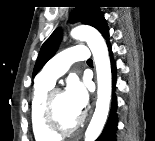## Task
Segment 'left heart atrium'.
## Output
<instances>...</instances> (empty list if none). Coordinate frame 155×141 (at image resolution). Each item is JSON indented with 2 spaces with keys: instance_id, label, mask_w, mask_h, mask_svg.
Masks as SVG:
<instances>
[{
  "instance_id": "obj_1",
  "label": "left heart atrium",
  "mask_w": 155,
  "mask_h": 141,
  "mask_svg": "<svg viewBox=\"0 0 155 141\" xmlns=\"http://www.w3.org/2000/svg\"><path fill=\"white\" fill-rule=\"evenodd\" d=\"M64 95L71 108L80 115L88 103L85 85L77 79H71L67 83Z\"/></svg>"
}]
</instances>
